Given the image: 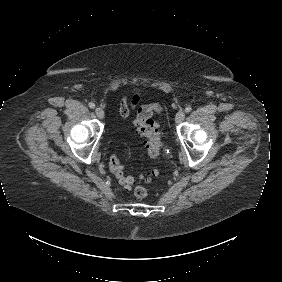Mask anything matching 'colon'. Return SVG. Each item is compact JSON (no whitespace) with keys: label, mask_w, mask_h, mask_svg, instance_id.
<instances>
[{"label":"colon","mask_w":282,"mask_h":282,"mask_svg":"<svg viewBox=\"0 0 282 282\" xmlns=\"http://www.w3.org/2000/svg\"><path fill=\"white\" fill-rule=\"evenodd\" d=\"M164 111V106L160 102H155L150 105H143L140 108L139 124L138 129L142 133L145 139L147 147V156L152 160H158L162 152V140L158 126L152 120V115H160ZM109 169L112 175L116 178L118 183L127 189H132V184H138V177H131L125 174V167L120 162L117 155H112L109 159ZM154 177L160 174L157 168L151 171ZM140 180L145 182L151 181V176L146 174L140 175ZM148 195V190L144 186L143 188L137 187L136 194L134 195L137 199H143Z\"/></svg>","instance_id":"5ec220e1"}]
</instances>
